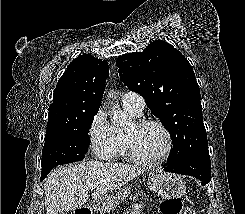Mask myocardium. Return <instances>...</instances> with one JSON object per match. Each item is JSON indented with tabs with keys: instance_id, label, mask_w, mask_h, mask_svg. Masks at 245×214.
I'll return each instance as SVG.
<instances>
[{
	"instance_id": "f54148a6",
	"label": "myocardium",
	"mask_w": 245,
	"mask_h": 214,
	"mask_svg": "<svg viewBox=\"0 0 245 214\" xmlns=\"http://www.w3.org/2000/svg\"><path fill=\"white\" fill-rule=\"evenodd\" d=\"M149 125L157 126L158 128H160L165 134L167 141L164 151L158 157L155 158H147L142 156L135 147L132 132L127 130L124 131V141L129 157L145 165H153L163 161L165 158L169 156L173 149V137L171 135V132L162 122L153 119H137L131 123L133 130L140 129Z\"/></svg>"
}]
</instances>
